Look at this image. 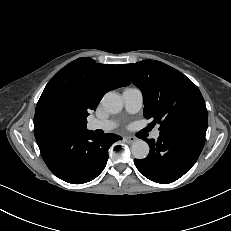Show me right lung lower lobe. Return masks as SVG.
I'll return each instance as SVG.
<instances>
[{"mask_svg": "<svg viewBox=\"0 0 231 231\" xmlns=\"http://www.w3.org/2000/svg\"><path fill=\"white\" fill-rule=\"evenodd\" d=\"M122 140L106 133L97 136L91 130L78 134L55 135L38 142L42 158L60 179L82 184L96 178L105 168L109 147Z\"/></svg>", "mask_w": 231, "mask_h": 231, "instance_id": "98d812e1", "label": "right lung lower lobe"}]
</instances>
